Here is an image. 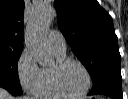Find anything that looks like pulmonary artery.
I'll return each instance as SVG.
<instances>
[{"label":"pulmonary artery","instance_id":"pulmonary-artery-1","mask_svg":"<svg viewBox=\"0 0 128 99\" xmlns=\"http://www.w3.org/2000/svg\"><path fill=\"white\" fill-rule=\"evenodd\" d=\"M49 45L56 53H66V42L63 35L59 31L53 30L49 33Z\"/></svg>","mask_w":128,"mask_h":99}]
</instances>
